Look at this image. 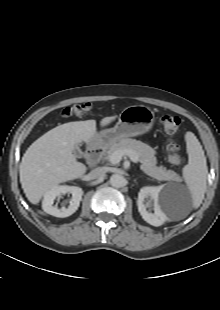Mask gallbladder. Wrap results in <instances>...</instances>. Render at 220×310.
Returning <instances> with one entry per match:
<instances>
[{"label": "gallbladder", "instance_id": "gallbladder-1", "mask_svg": "<svg viewBox=\"0 0 220 310\" xmlns=\"http://www.w3.org/2000/svg\"><path fill=\"white\" fill-rule=\"evenodd\" d=\"M73 154L77 158H82L83 157V152L81 151V149L78 146L73 149Z\"/></svg>", "mask_w": 220, "mask_h": 310}]
</instances>
